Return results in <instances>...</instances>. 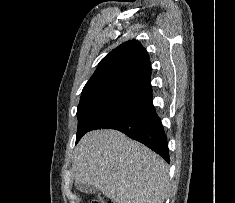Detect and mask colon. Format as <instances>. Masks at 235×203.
Instances as JSON below:
<instances>
[{
    "mask_svg": "<svg viewBox=\"0 0 235 203\" xmlns=\"http://www.w3.org/2000/svg\"><path fill=\"white\" fill-rule=\"evenodd\" d=\"M93 203H115L114 201L112 200H109V199H105L103 197H97Z\"/></svg>",
    "mask_w": 235,
    "mask_h": 203,
    "instance_id": "5ec220e1",
    "label": "colon"
}]
</instances>
